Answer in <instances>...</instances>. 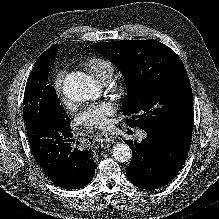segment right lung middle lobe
I'll return each mask as SVG.
<instances>
[{
	"mask_svg": "<svg viewBox=\"0 0 219 219\" xmlns=\"http://www.w3.org/2000/svg\"><path fill=\"white\" fill-rule=\"evenodd\" d=\"M45 51L36 61L26 83L24 92L23 119L29 123L41 115L58 119L64 127H70V119L57 97L53 86L47 84L48 73L54 62L56 50Z\"/></svg>",
	"mask_w": 219,
	"mask_h": 219,
	"instance_id": "1",
	"label": "right lung middle lobe"
}]
</instances>
